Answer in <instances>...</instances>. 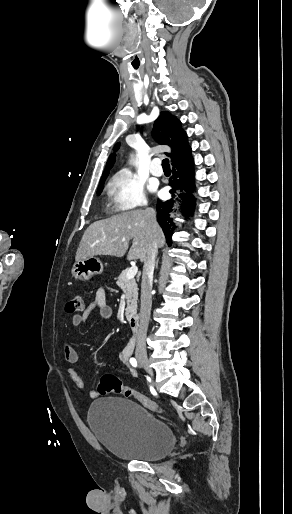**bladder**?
<instances>
[{"label": "bladder", "mask_w": 292, "mask_h": 514, "mask_svg": "<svg viewBox=\"0 0 292 514\" xmlns=\"http://www.w3.org/2000/svg\"><path fill=\"white\" fill-rule=\"evenodd\" d=\"M87 421L99 443L120 460H158L176 444L170 424L129 399L95 400L89 407Z\"/></svg>", "instance_id": "1"}]
</instances>
